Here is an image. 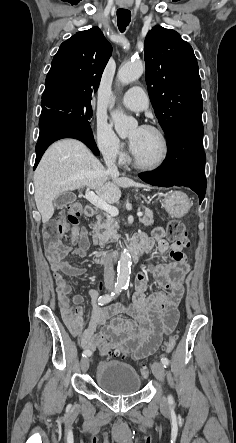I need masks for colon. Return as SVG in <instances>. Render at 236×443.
I'll use <instances>...</instances> for the list:
<instances>
[{
    "label": "colon",
    "mask_w": 236,
    "mask_h": 443,
    "mask_svg": "<svg viewBox=\"0 0 236 443\" xmlns=\"http://www.w3.org/2000/svg\"><path fill=\"white\" fill-rule=\"evenodd\" d=\"M67 222L72 227V230H77L79 224V218L82 210L81 206L77 203H71L67 206ZM65 226L58 220L51 221L45 228L44 239L47 244L49 253L57 259L64 256L62 246L58 241V237L62 235ZM167 235L170 240L181 247L189 246V240L187 237V231L185 225L179 220H171L167 225ZM178 335L172 334L164 346V352L170 354L177 346ZM100 354L104 358L108 359H124L129 355V349L126 346L117 344H105L100 349ZM141 375L143 377L148 376V370L142 367Z\"/></svg>",
    "instance_id": "1"
}]
</instances>
